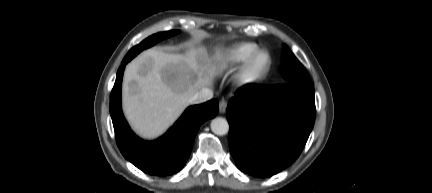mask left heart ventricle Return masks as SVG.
Returning <instances> with one entry per match:
<instances>
[{"label": "left heart ventricle", "instance_id": "obj_1", "mask_svg": "<svg viewBox=\"0 0 432 193\" xmlns=\"http://www.w3.org/2000/svg\"><path fill=\"white\" fill-rule=\"evenodd\" d=\"M264 62H265V57L264 56L260 57L257 61L256 67L261 68L264 65Z\"/></svg>", "mask_w": 432, "mask_h": 193}]
</instances>
